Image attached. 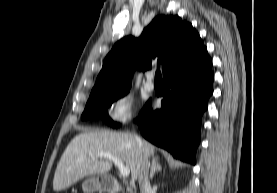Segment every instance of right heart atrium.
Wrapping results in <instances>:
<instances>
[{
	"instance_id": "1",
	"label": "right heart atrium",
	"mask_w": 277,
	"mask_h": 193,
	"mask_svg": "<svg viewBox=\"0 0 277 193\" xmlns=\"http://www.w3.org/2000/svg\"><path fill=\"white\" fill-rule=\"evenodd\" d=\"M134 112V97L128 92H122L112 100L107 118L112 124H124L133 118Z\"/></svg>"
}]
</instances>
